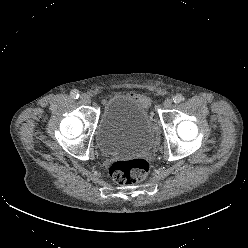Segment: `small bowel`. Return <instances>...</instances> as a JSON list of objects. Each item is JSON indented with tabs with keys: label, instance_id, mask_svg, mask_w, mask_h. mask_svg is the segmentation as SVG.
I'll use <instances>...</instances> for the list:
<instances>
[{
	"label": "small bowel",
	"instance_id": "small-bowel-1",
	"mask_svg": "<svg viewBox=\"0 0 248 248\" xmlns=\"http://www.w3.org/2000/svg\"><path fill=\"white\" fill-rule=\"evenodd\" d=\"M137 98L142 99V100L148 102V100H147L145 97H141V96H140V97H137Z\"/></svg>",
	"mask_w": 248,
	"mask_h": 248
}]
</instances>
